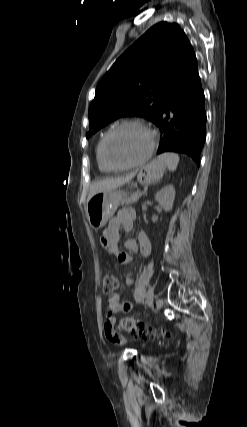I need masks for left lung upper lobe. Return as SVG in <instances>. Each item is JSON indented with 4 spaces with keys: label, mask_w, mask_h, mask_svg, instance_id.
I'll list each match as a JSON object with an SVG mask.
<instances>
[{
    "label": "left lung upper lobe",
    "mask_w": 247,
    "mask_h": 427,
    "mask_svg": "<svg viewBox=\"0 0 247 427\" xmlns=\"http://www.w3.org/2000/svg\"><path fill=\"white\" fill-rule=\"evenodd\" d=\"M196 68L194 50L180 26L157 23L116 60L97 85L88 112L89 127L95 133L122 116L156 122L168 94Z\"/></svg>",
    "instance_id": "1"
}]
</instances>
